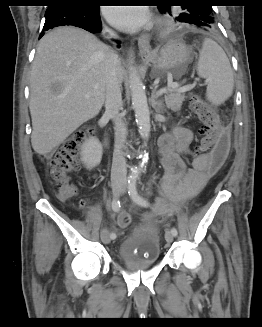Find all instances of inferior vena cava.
I'll return each mask as SVG.
<instances>
[{"instance_id":"602c4592","label":"inferior vena cava","mask_w":262,"mask_h":327,"mask_svg":"<svg viewBox=\"0 0 262 327\" xmlns=\"http://www.w3.org/2000/svg\"><path fill=\"white\" fill-rule=\"evenodd\" d=\"M109 38H117L116 33L105 29ZM119 59L116 53H111L106 60V96L105 113L114 122L115 143L111 168V181H125L127 175V164L123 149L127 138V127L120 113L122 109L121 81L119 78Z\"/></svg>"}]
</instances>
